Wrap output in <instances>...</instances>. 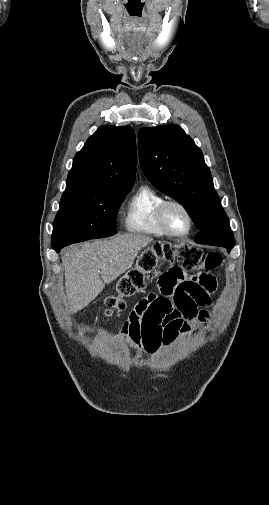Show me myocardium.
<instances>
[{
	"instance_id": "f54148a6",
	"label": "myocardium",
	"mask_w": 269,
	"mask_h": 505,
	"mask_svg": "<svg viewBox=\"0 0 269 505\" xmlns=\"http://www.w3.org/2000/svg\"><path fill=\"white\" fill-rule=\"evenodd\" d=\"M171 205H175V206L180 207L187 215L188 220H189V227L186 232L176 233L168 227V225L165 221V211H166L167 207H169ZM156 219H157V222H158L159 226L161 227V229L166 233V235H169L171 237H177V238L186 237L191 233V231L194 227V218H193V215H192L190 209L181 201L174 200V199L163 200L157 206Z\"/></svg>"
}]
</instances>
